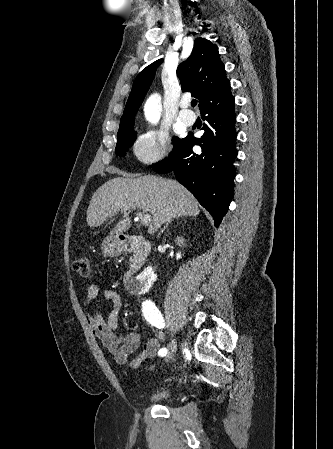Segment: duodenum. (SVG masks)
I'll use <instances>...</instances> for the list:
<instances>
[{"label":"duodenum","instance_id":"410a0bca","mask_svg":"<svg viewBox=\"0 0 333 449\" xmlns=\"http://www.w3.org/2000/svg\"><path fill=\"white\" fill-rule=\"evenodd\" d=\"M115 247L119 251L133 254L130 269L125 277V283L128 284L132 276L144 266L150 253V243L140 236H120L116 239Z\"/></svg>","mask_w":333,"mask_h":449}]
</instances>
